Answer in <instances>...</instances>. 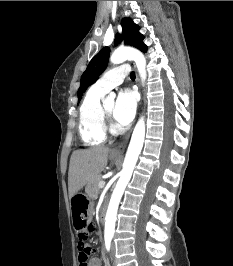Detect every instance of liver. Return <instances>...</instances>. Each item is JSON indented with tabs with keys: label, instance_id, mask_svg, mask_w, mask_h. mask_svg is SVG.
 Listing matches in <instances>:
<instances>
[{
	"label": "liver",
	"instance_id": "obj_1",
	"mask_svg": "<svg viewBox=\"0 0 233 266\" xmlns=\"http://www.w3.org/2000/svg\"><path fill=\"white\" fill-rule=\"evenodd\" d=\"M108 147L80 149L72 153L68 172V191L71 199L86 184L97 179L108 162Z\"/></svg>",
	"mask_w": 233,
	"mask_h": 266
}]
</instances>
